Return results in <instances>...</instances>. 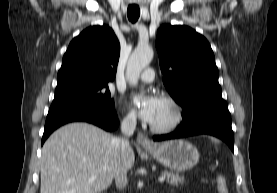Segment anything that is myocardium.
<instances>
[{
  "label": "myocardium",
  "instance_id": "1",
  "mask_svg": "<svg viewBox=\"0 0 277 193\" xmlns=\"http://www.w3.org/2000/svg\"><path fill=\"white\" fill-rule=\"evenodd\" d=\"M162 101L167 102L173 108L172 120L164 126H155L150 124L151 131L159 134H165L175 130L183 121L184 113L180 103L171 96H162Z\"/></svg>",
  "mask_w": 277,
  "mask_h": 193
}]
</instances>
